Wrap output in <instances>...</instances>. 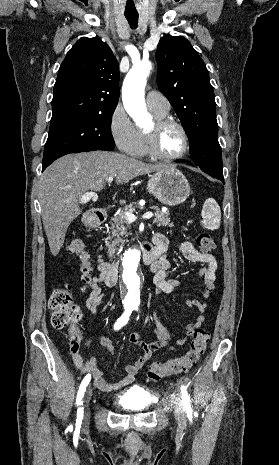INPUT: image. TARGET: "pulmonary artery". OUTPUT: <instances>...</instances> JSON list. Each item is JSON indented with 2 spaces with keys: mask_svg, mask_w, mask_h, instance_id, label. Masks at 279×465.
Returning <instances> with one entry per match:
<instances>
[{
  "mask_svg": "<svg viewBox=\"0 0 279 465\" xmlns=\"http://www.w3.org/2000/svg\"><path fill=\"white\" fill-rule=\"evenodd\" d=\"M146 105L149 109L166 113L170 109L167 98L158 91H150L146 95Z\"/></svg>",
  "mask_w": 279,
  "mask_h": 465,
  "instance_id": "e3ab8cb5",
  "label": "pulmonary artery"
}]
</instances>
